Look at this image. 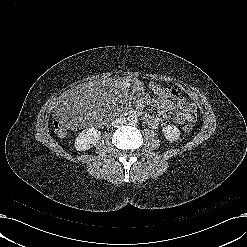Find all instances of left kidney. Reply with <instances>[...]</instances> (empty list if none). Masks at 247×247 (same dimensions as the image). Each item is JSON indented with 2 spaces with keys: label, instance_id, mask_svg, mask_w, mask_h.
Wrapping results in <instances>:
<instances>
[{
  "label": "left kidney",
  "instance_id": "5707ae66",
  "mask_svg": "<svg viewBox=\"0 0 247 247\" xmlns=\"http://www.w3.org/2000/svg\"><path fill=\"white\" fill-rule=\"evenodd\" d=\"M165 138L168 141H177L180 137V130L175 125H167L162 129Z\"/></svg>",
  "mask_w": 247,
  "mask_h": 247
}]
</instances>
